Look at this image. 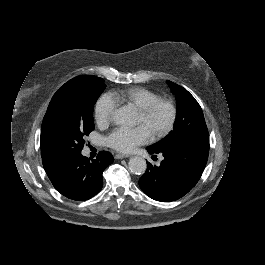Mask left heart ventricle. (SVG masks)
I'll return each instance as SVG.
<instances>
[{
    "label": "left heart ventricle",
    "instance_id": "obj_1",
    "mask_svg": "<svg viewBox=\"0 0 265 265\" xmlns=\"http://www.w3.org/2000/svg\"><path fill=\"white\" fill-rule=\"evenodd\" d=\"M167 118H168L167 109L163 106H160L148 119L142 117L138 112L137 124H142L146 126V128L151 132V134H154L166 123Z\"/></svg>",
    "mask_w": 265,
    "mask_h": 265
}]
</instances>
